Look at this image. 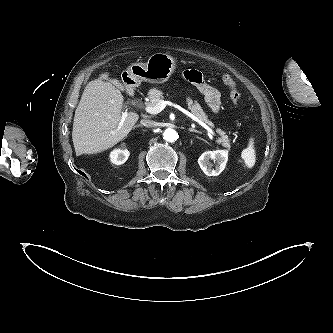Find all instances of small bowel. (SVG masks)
Instances as JSON below:
<instances>
[{
    "label": "small bowel",
    "instance_id": "obj_1",
    "mask_svg": "<svg viewBox=\"0 0 333 333\" xmlns=\"http://www.w3.org/2000/svg\"><path fill=\"white\" fill-rule=\"evenodd\" d=\"M184 79L192 83L205 97L209 107L218 112L221 107V98L219 91L210 85L197 70H187L183 74Z\"/></svg>",
    "mask_w": 333,
    "mask_h": 333
}]
</instances>
